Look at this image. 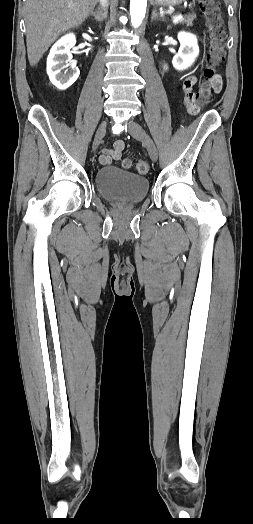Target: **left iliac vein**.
<instances>
[{"label": "left iliac vein", "mask_w": 253, "mask_h": 524, "mask_svg": "<svg viewBox=\"0 0 253 524\" xmlns=\"http://www.w3.org/2000/svg\"><path fill=\"white\" fill-rule=\"evenodd\" d=\"M128 131L132 137L142 141L147 148L150 158L156 161L158 158L156 145L145 129L139 123L130 120L128 121Z\"/></svg>", "instance_id": "obj_1"}]
</instances>
